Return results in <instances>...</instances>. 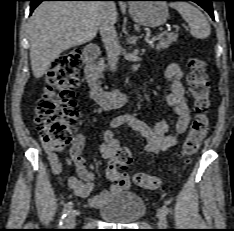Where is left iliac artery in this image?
<instances>
[{
    "label": "left iliac artery",
    "instance_id": "obj_1",
    "mask_svg": "<svg viewBox=\"0 0 234 231\" xmlns=\"http://www.w3.org/2000/svg\"><path fill=\"white\" fill-rule=\"evenodd\" d=\"M162 210L165 214H168L170 212L169 208L165 205L162 206Z\"/></svg>",
    "mask_w": 234,
    "mask_h": 231
}]
</instances>
